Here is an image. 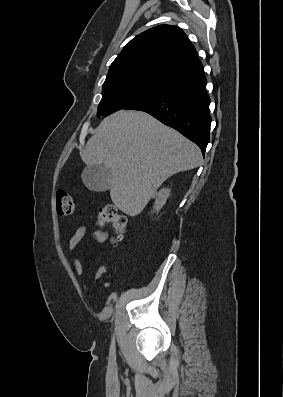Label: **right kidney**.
I'll list each match as a JSON object with an SVG mask.
<instances>
[{"label": "right kidney", "instance_id": "ca27d5eb", "mask_svg": "<svg viewBox=\"0 0 283 397\" xmlns=\"http://www.w3.org/2000/svg\"><path fill=\"white\" fill-rule=\"evenodd\" d=\"M170 192V189L163 188L156 194L154 211L158 212L164 206L168 197L170 196Z\"/></svg>", "mask_w": 283, "mask_h": 397}]
</instances>
